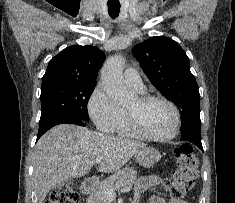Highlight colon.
Wrapping results in <instances>:
<instances>
[{
  "instance_id": "1",
  "label": "colon",
  "mask_w": 235,
  "mask_h": 203,
  "mask_svg": "<svg viewBox=\"0 0 235 203\" xmlns=\"http://www.w3.org/2000/svg\"><path fill=\"white\" fill-rule=\"evenodd\" d=\"M175 170L164 183L173 198H182L192 189L198 177V157L190 145L184 144L174 149ZM79 195L73 186L60 185L44 203H78Z\"/></svg>"
}]
</instances>
